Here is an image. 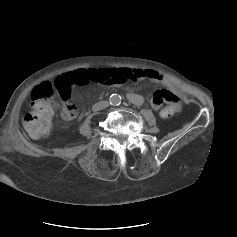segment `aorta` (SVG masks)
Listing matches in <instances>:
<instances>
[{"mask_svg": "<svg viewBox=\"0 0 237 237\" xmlns=\"http://www.w3.org/2000/svg\"><path fill=\"white\" fill-rule=\"evenodd\" d=\"M109 101L111 105L117 106L120 105L122 99L119 94H112L109 98Z\"/></svg>", "mask_w": 237, "mask_h": 237, "instance_id": "1", "label": "aorta"}]
</instances>
